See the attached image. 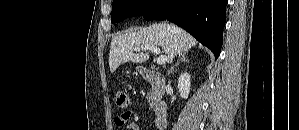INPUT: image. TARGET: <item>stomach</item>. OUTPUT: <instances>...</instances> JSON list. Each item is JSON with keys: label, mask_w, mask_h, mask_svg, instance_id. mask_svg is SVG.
<instances>
[{"label": "stomach", "mask_w": 299, "mask_h": 130, "mask_svg": "<svg viewBox=\"0 0 299 130\" xmlns=\"http://www.w3.org/2000/svg\"><path fill=\"white\" fill-rule=\"evenodd\" d=\"M136 69H137V70H139L140 68H139V67H137Z\"/></svg>", "instance_id": "0dacf381"}]
</instances>
